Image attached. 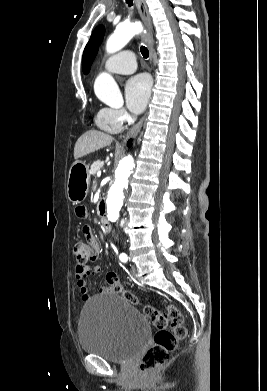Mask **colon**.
Segmentation results:
<instances>
[{
  "label": "colon",
  "mask_w": 267,
  "mask_h": 391,
  "mask_svg": "<svg viewBox=\"0 0 267 391\" xmlns=\"http://www.w3.org/2000/svg\"><path fill=\"white\" fill-rule=\"evenodd\" d=\"M73 253L76 266H88L97 257V243L94 239H78L74 242ZM106 282L110 292L122 296L131 304L140 303V299L134 293L122 286L115 271H109L106 274ZM144 313L156 329L154 341L140 362V371L149 375L169 360L171 353L176 349L179 341L185 338L187 331L183 324L182 314L176 306L169 305L165 311H160L145 304ZM170 324L171 330L168 329Z\"/></svg>",
  "instance_id": "5ec220e1"
}]
</instances>
